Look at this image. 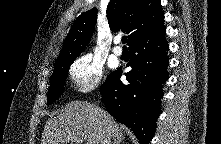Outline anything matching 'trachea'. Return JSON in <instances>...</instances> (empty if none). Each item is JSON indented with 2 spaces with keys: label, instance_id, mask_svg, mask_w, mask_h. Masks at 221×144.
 I'll use <instances>...</instances> for the list:
<instances>
[{
  "label": "trachea",
  "instance_id": "trachea-1",
  "mask_svg": "<svg viewBox=\"0 0 221 144\" xmlns=\"http://www.w3.org/2000/svg\"><path fill=\"white\" fill-rule=\"evenodd\" d=\"M126 42H127V37H126V36H123V37H122V43H123V44H126ZM124 47H125V46H124Z\"/></svg>",
  "mask_w": 221,
  "mask_h": 144
}]
</instances>
